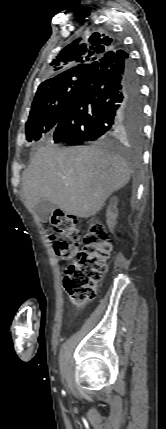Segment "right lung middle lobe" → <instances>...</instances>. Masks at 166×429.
<instances>
[{
  "mask_svg": "<svg viewBox=\"0 0 166 429\" xmlns=\"http://www.w3.org/2000/svg\"><path fill=\"white\" fill-rule=\"evenodd\" d=\"M85 79L86 75L66 78L53 84L46 91L35 95L26 123V138L29 142L37 141L46 133L54 131L75 90ZM141 128L127 129L125 137L134 144L140 143Z\"/></svg>",
  "mask_w": 166,
  "mask_h": 429,
  "instance_id": "right-lung-middle-lobe-1",
  "label": "right lung middle lobe"
}]
</instances>
